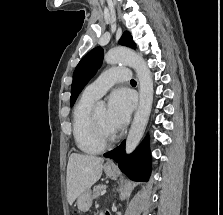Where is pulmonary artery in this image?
I'll return each instance as SVG.
<instances>
[{"label":"pulmonary artery","mask_w":223,"mask_h":215,"mask_svg":"<svg viewBox=\"0 0 223 215\" xmlns=\"http://www.w3.org/2000/svg\"><path fill=\"white\" fill-rule=\"evenodd\" d=\"M132 69H126L125 65H118L117 69H106V73L99 76L89 84L83 94L87 97L97 99L101 97L115 83L126 81L131 77Z\"/></svg>","instance_id":"obj_1"}]
</instances>
